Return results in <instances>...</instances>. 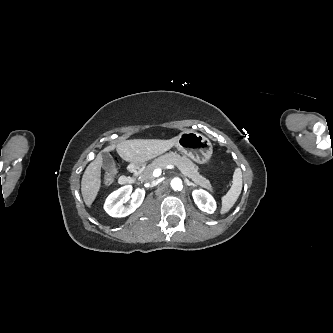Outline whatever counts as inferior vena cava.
Here are the masks:
<instances>
[{
  "label": "inferior vena cava",
  "instance_id": "1",
  "mask_svg": "<svg viewBox=\"0 0 333 333\" xmlns=\"http://www.w3.org/2000/svg\"><path fill=\"white\" fill-rule=\"evenodd\" d=\"M156 184H157V183H156V182H154V183H152V184H151V186H154V185H156Z\"/></svg>",
  "mask_w": 333,
  "mask_h": 333
}]
</instances>
